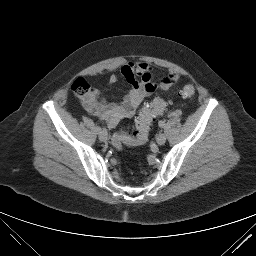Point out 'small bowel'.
Returning a JSON list of instances; mask_svg holds the SVG:
<instances>
[{
  "instance_id": "1",
  "label": "small bowel",
  "mask_w": 256,
  "mask_h": 256,
  "mask_svg": "<svg viewBox=\"0 0 256 256\" xmlns=\"http://www.w3.org/2000/svg\"><path fill=\"white\" fill-rule=\"evenodd\" d=\"M121 76L125 79L129 89L120 103H111L99 99L97 92L91 93L88 103H91L99 117L104 120L110 128H115L124 119L133 117L135 110L143 100L157 90H168L175 85L180 76L176 72H170L160 80H155L152 70L144 62H129L120 69ZM118 81L116 75L109 79V86H114Z\"/></svg>"
}]
</instances>
